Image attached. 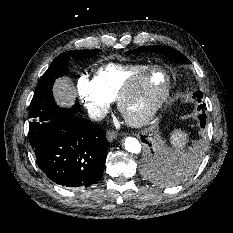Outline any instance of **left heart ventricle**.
I'll use <instances>...</instances> for the list:
<instances>
[{
	"instance_id": "obj_1",
	"label": "left heart ventricle",
	"mask_w": 233,
	"mask_h": 233,
	"mask_svg": "<svg viewBox=\"0 0 233 233\" xmlns=\"http://www.w3.org/2000/svg\"><path fill=\"white\" fill-rule=\"evenodd\" d=\"M164 84V77L157 75L151 85L135 94L127 105V112L131 115L138 114L147 108L151 101L157 96Z\"/></svg>"
}]
</instances>
